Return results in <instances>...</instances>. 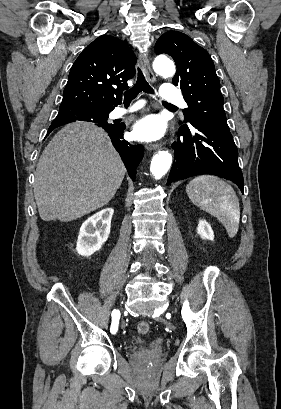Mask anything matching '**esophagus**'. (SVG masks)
Listing matches in <instances>:
<instances>
[{
    "label": "esophagus",
    "mask_w": 281,
    "mask_h": 409,
    "mask_svg": "<svg viewBox=\"0 0 281 409\" xmlns=\"http://www.w3.org/2000/svg\"><path fill=\"white\" fill-rule=\"evenodd\" d=\"M139 62H140V65L142 66L146 76L150 80V82H155L156 77H155V75H154V73H153V71L151 69L150 62H149V59H148L147 55L142 54V53L139 54ZM160 147H161L160 144H150V145L146 146V148L148 150H156V149H158Z\"/></svg>",
    "instance_id": "1"
}]
</instances>
